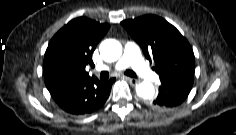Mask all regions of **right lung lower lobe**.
Returning a JSON list of instances; mask_svg holds the SVG:
<instances>
[{"label":"right lung lower lobe","instance_id":"1","mask_svg":"<svg viewBox=\"0 0 236 135\" xmlns=\"http://www.w3.org/2000/svg\"><path fill=\"white\" fill-rule=\"evenodd\" d=\"M115 80L99 81L95 77L56 73L45 78V84L61 109L72 115H86L104 105Z\"/></svg>","mask_w":236,"mask_h":135}]
</instances>
